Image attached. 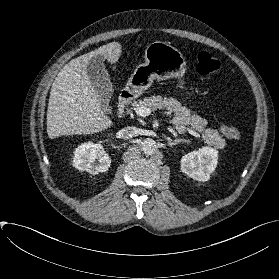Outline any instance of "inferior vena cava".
I'll list each match as a JSON object with an SVG mask.
<instances>
[{
    "label": "inferior vena cava",
    "mask_w": 279,
    "mask_h": 279,
    "mask_svg": "<svg viewBox=\"0 0 279 279\" xmlns=\"http://www.w3.org/2000/svg\"><path fill=\"white\" fill-rule=\"evenodd\" d=\"M119 136L123 139H130L134 136L137 135V128L136 127H132V126H127L123 129H121L118 132Z\"/></svg>",
    "instance_id": "obj_1"
}]
</instances>
